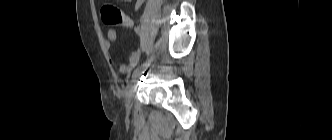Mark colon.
Returning a JSON list of instances; mask_svg holds the SVG:
<instances>
[{"mask_svg": "<svg viewBox=\"0 0 332 140\" xmlns=\"http://www.w3.org/2000/svg\"><path fill=\"white\" fill-rule=\"evenodd\" d=\"M101 17L103 22L109 26L132 27V20L113 4H105L101 8Z\"/></svg>", "mask_w": 332, "mask_h": 140, "instance_id": "obj_1", "label": "colon"}]
</instances>
